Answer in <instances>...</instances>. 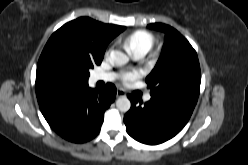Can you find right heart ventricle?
<instances>
[{
	"label": "right heart ventricle",
	"mask_w": 248,
	"mask_h": 165,
	"mask_svg": "<svg viewBox=\"0 0 248 165\" xmlns=\"http://www.w3.org/2000/svg\"><path fill=\"white\" fill-rule=\"evenodd\" d=\"M154 44V36L147 31L138 30L131 33L125 39V45L134 53L138 50H146L147 52Z\"/></svg>",
	"instance_id": "obj_1"
}]
</instances>
